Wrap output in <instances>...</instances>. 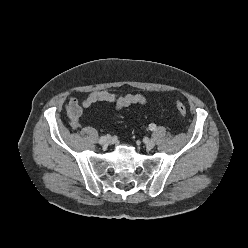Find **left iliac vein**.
Wrapping results in <instances>:
<instances>
[{"mask_svg": "<svg viewBox=\"0 0 248 248\" xmlns=\"http://www.w3.org/2000/svg\"><path fill=\"white\" fill-rule=\"evenodd\" d=\"M145 146L147 149H152L155 146V142L152 139H147L145 141Z\"/></svg>", "mask_w": 248, "mask_h": 248, "instance_id": "obj_1", "label": "left iliac vein"}]
</instances>
